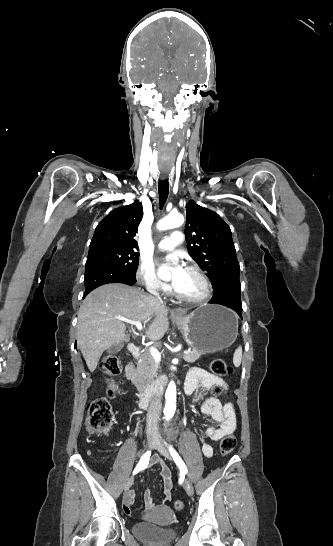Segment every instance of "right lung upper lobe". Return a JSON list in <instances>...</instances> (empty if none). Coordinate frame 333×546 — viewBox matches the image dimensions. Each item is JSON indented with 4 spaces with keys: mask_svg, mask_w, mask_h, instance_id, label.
Returning a JSON list of instances; mask_svg holds the SVG:
<instances>
[{
    "mask_svg": "<svg viewBox=\"0 0 333 546\" xmlns=\"http://www.w3.org/2000/svg\"><path fill=\"white\" fill-rule=\"evenodd\" d=\"M142 216V204L139 201L112 210L97 225L89 251L104 247L138 250L134 237Z\"/></svg>",
    "mask_w": 333,
    "mask_h": 546,
    "instance_id": "right-lung-upper-lobe-1",
    "label": "right lung upper lobe"
}]
</instances>
